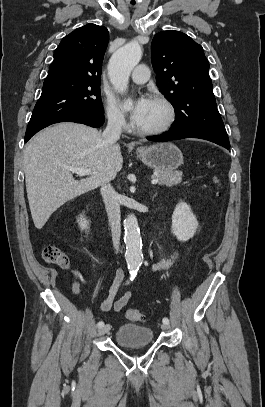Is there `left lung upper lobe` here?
Listing matches in <instances>:
<instances>
[{"instance_id": "left-lung-upper-lobe-1", "label": "left lung upper lobe", "mask_w": 265, "mask_h": 407, "mask_svg": "<svg viewBox=\"0 0 265 407\" xmlns=\"http://www.w3.org/2000/svg\"><path fill=\"white\" fill-rule=\"evenodd\" d=\"M151 59L159 90L175 108L170 131H193L229 142L202 46L182 32L162 31L152 40Z\"/></svg>"}]
</instances>
